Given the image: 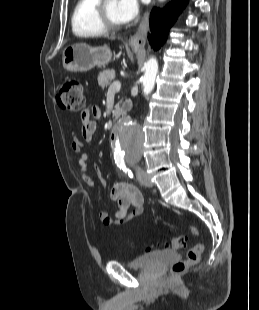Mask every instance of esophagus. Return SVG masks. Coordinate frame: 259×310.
<instances>
[{
  "mask_svg": "<svg viewBox=\"0 0 259 310\" xmlns=\"http://www.w3.org/2000/svg\"><path fill=\"white\" fill-rule=\"evenodd\" d=\"M149 27V9L144 13L137 31L130 37L128 43L133 49H141L146 43V35Z\"/></svg>",
  "mask_w": 259,
  "mask_h": 310,
  "instance_id": "obj_1",
  "label": "esophagus"
}]
</instances>
